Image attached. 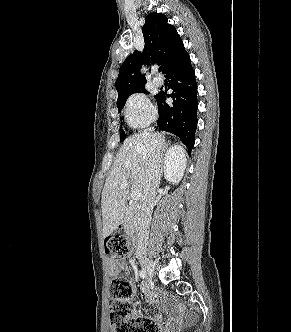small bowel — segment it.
<instances>
[{"instance_id":"c3829d8e","label":"small bowel","mask_w":291,"mask_h":332,"mask_svg":"<svg viewBox=\"0 0 291 332\" xmlns=\"http://www.w3.org/2000/svg\"><path fill=\"white\" fill-rule=\"evenodd\" d=\"M109 266H110V275L113 276V277L117 276L120 272L125 271L127 269V266H126L125 262L121 259H118V258H111L109 260ZM143 290H144L145 293H147L150 296V298L153 302L158 301L157 296L155 294L149 292V289H148L147 285H143ZM160 319H161V317L159 315H156L154 317L155 321H159ZM169 326L174 327L175 322L171 321L169 323Z\"/></svg>"}]
</instances>
